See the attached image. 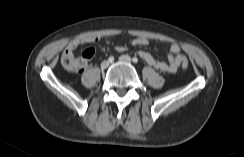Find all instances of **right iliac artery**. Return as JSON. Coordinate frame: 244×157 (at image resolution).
I'll return each instance as SVG.
<instances>
[{"label": "right iliac artery", "mask_w": 244, "mask_h": 157, "mask_svg": "<svg viewBox=\"0 0 244 157\" xmlns=\"http://www.w3.org/2000/svg\"><path fill=\"white\" fill-rule=\"evenodd\" d=\"M108 61H109V62H113V61H114V57H113V56H110V57L108 58Z\"/></svg>", "instance_id": "82829eb1"}]
</instances>
